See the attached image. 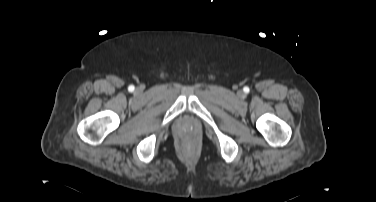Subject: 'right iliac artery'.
Here are the masks:
<instances>
[{
	"instance_id": "right-iliac-artery-1",
	"label": "right iliac artery",
	"mask_w": 376,
	"mask_h": 202,
	"mask_svg": "<svg viewBox=\"0 0 376 202\" xmlns=\"http://www.w3.org/2000/svg\"><path fill=\"white\" fill-rule=\"evenodd\" d=\"M130 91L134 90V87L133 86H130L129 87Z\"/></svg>"
}]
</instances>
